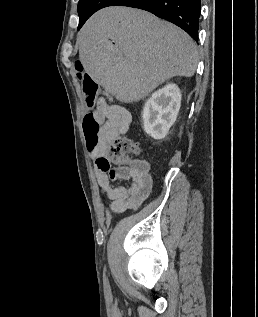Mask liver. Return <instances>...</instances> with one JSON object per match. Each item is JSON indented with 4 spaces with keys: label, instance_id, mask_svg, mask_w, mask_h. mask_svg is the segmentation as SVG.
I'll return each instance as SVG.
<instances>
[{
    "label": "liver",
    "instance_id": "1",
    "mask_svg": "<svg viewBox=\"0 0 258 317\" xmlns=\"http://www.w3.org/2000/svg\"><path fill=\"white\" fill-rule=\"evenodd\" d=\"M78 38L84 70L121 102L144 98L172 76H193L199 60L182 28L129 6L101 8Z\"/></svg>",
    "mask_w": 258,
    "mask_h": 317
}]
</instances>
